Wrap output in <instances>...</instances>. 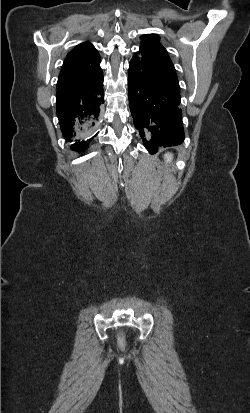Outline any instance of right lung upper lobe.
I'll list each match as a JSON object with an SVG mask.
<instances>
[{"mask_svg": "<svg viewBox=\"0 0 250 413\" xmlns=\"http://www.w3.org/2000/svg\"><path fill=\"white\" fill-rule=\"evenodd\" d=\"M100 56L95 47L88 43L76 46L65 58L58 77L57 87L83 84L101 70Z\"/></svg>", "mask_w": 250, "mask_h": 413, "instance_id": "obj_1", "label": "right lung upper lobe"}]
</instances>
